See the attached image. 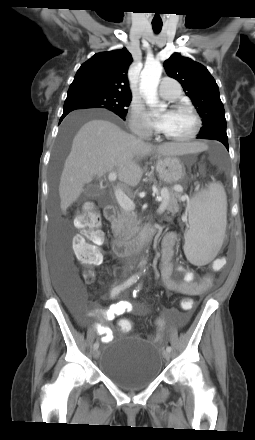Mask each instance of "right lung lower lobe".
I'll list each match as a JSON object with an SVG mask.
<instances>
[{"mask_svg": "<svg viewBox=\"0 0 255 440\" xmlns=\"http://www.w3.org/2000/svg\"><path fill=\"white\" fill-rule=\"evenodd\" d=\"M74 109H65L63 112V115L61 116L60 122L63 120V118L71 111H73Z\"/></svg>", "mask_w": 255, "mask_h": 440, "instance_id": "obj_1", "label": "right lung lower lobe"}]
</instances>
